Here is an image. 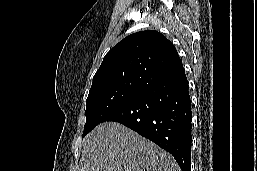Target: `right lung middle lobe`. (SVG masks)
Masks as SVG:
<instances>
[{
    "label": "right lung middle lobe",
    "mask_w": 257,
    "mask_h": 171,
    "mask_svg": "<svg viewBox=\"0 0 257 171\" xmlns=\"http://www.w3.org/2000/svg\"><path fill=\"white\" fill-rule=\"evenodd\" d=\"M146 88L142 83H132L109 84L90 89L86 101L83 136Z\"/></svg>",
    "instance_id": "1"
}]
</instances>
